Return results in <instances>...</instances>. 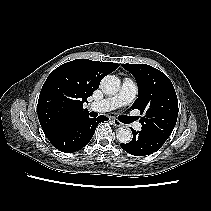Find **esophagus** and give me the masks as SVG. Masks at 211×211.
I'll use <instances>...</instances> for the list:
<instances>
[{"mask_svg":"<svg viewBox=\"0 0 211 211\" xmlns=\"http://www.w3.org/2000/svg\"><path fill=\"white\" fill-rule=\"evenodd\" d=\"M113 125L116 127H122L123 124L118 119H112Z\"/></svg>","mask_w":211,"mask_h":211,"instance_id":"obj_1","label":"esophagus"}]
</instances>
